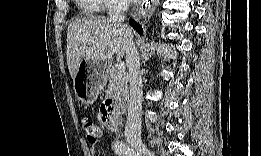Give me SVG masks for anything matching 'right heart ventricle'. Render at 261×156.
I'll return each mask as SVG.
<instances>
[{"label": "right heart ventricle", "mask_w": 261, "mask_h": 156, "mask_svg": "<svg viewBox=\"0 0 261 156\" xmlns=\"http://www.w3.org/2000/svg\"><path fill=\"white\" fill-rule=\"evenodd\" d=\"M79 4H81L82 6H84L86 8L93 9L94 1L93 0H83V1H79Z\"/></svg>", "instance_id": "right-heart-ventricle-1"}]
</instances>
